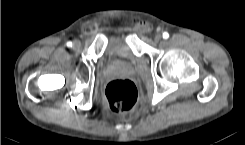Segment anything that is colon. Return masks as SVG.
Masks as SVG:
<instances>
[{"mask_svg": "<svg viewBox=\"0 0 245 145\" xmlns=\"http://www.w3.org/2000/svg\"><path fill=\"white\" fill-rule=\"evenodd\" d=\"M137 28L148 31L150 24L145 21H137ZM105 96L109 107L117 113H126L137 105L138 93L136 86L129 79H116L111 81L105 90Z\"/></svg>", "mask_w": 245, "mask_h": 145, "instance_id": "obj_1", "label": "colon"}]
</instances>
